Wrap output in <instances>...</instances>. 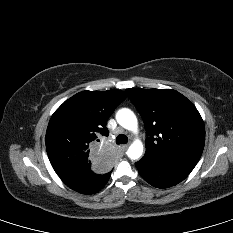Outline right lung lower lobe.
<instances>
[{
	"label": "right lung lower lobe",
	"instance_id": "right-lung-lower-lobe-1",
	"mask_svg": "<svg viewBox=\"0 0 233 233\" xmlns=\"http://www.w3.org/2000/svg\"><path fill=\"white\" fill-rule=\"evenodd\" d=\"M111 172L96 173L93 168L59 175L61 180L71 189L83 193L93 194L104 187Z\"/></svg>",
	"mask_w": 233,
	"mask_h": 233
}]
</instances>
